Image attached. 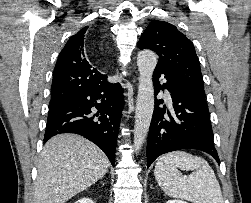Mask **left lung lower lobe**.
Segmentation results:
<instances>
[{
	"instance_id": "left-lung-lower-lobe-1",
	"label": "left lung lower lobe",
	"mask_w": 251,
	"mask_h": 203,
	"mask_svg": "<svg viewBox=\"0 0 251 203\" xmlns=\"http://www.w3.org/2000/svg\"><path fill=\"white\" fill-rule=\"evenodd\" d=\"M165 83L161 87L159 78ZM153 83L170 92L173 106L159 107L156 100L147 142V166L160 155L180 149H198L210 154L220 164L213 142V131L206 99L181 79L162 68H155Z\"/></svg>"
}]
</instances>
